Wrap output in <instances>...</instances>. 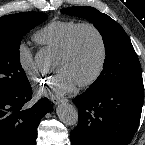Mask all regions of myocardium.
Here are the masks:
<instances>
[{
    "label": "myocardium",
    "mask_w": 145,
    "mask_h": 145,
    "mask_svg": "<svg viewBox=\"0 0 145 145\" xmlns=\"http://www.w3.org/2000/svg\"><path fill=\"white\" fill-rule=\"evenodd\" d=\"M84 28H88L94 32V34L96 35V37L98 39L99 46H100V60H99V63L97 65L95 72L87 80L78 83V86H80V87H89V86L93 85L100 78V76L103 73V70L106 66V62H107V58H108L107 44H106V40H105V37H104L102 31L95 24H93L91 22L79 23L74 28V30L71 32V34L69 35L63 49L59 52V55L62 57H69L72 54L77 35H78L79 31Z\"/></svg>",
    "instance_id": "1"
}]
</instances>
